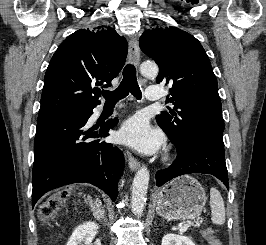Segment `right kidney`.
Wrapping results in <instances>:
<instances>
[{
  "label": "right kidney",
  "mask_w": 266,
  "mask_h": 245,
  "mask_svg": "<svg viewBox=\"0 0 266 245\" xmlns=\"http://www.w3.org/2000/svg\"><path fill=\"white\" fill-rule=\"evenodd\" d=\"M100 229L97 223H83L73 231L67 245H90Z\"/></svg>",
  "instance_id": "right-kidney-1"
}]
</instances>
